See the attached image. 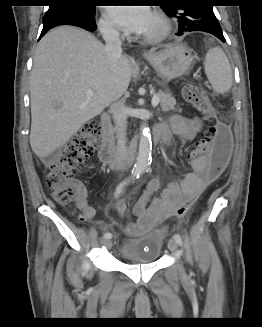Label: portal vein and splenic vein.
I'll use <instances>...</instances> for the list:
<instances>
[{
    "label": "portal vein and splenic vein",
    "mask_w": 262,
    "mask_h": 327,
    "mask_svg": "<svg viewBox=\"0 0 262 327\" xmlns=\"http://www.w3.org/2000/svg\"><path fill=\"white\" fill-rule=\"evenodd\" d=\"M93 94H94V91L91 90V89H88V90L86 91V95L89 96V97H91ZM159 102H160L159 97L156 96V95H154L153 98H152V101H151L152 106H153V107L158 106Z\"/></svg>",
    "instance_id": "portal-vein-and-splenic-vein-1"
}]
</instances>
